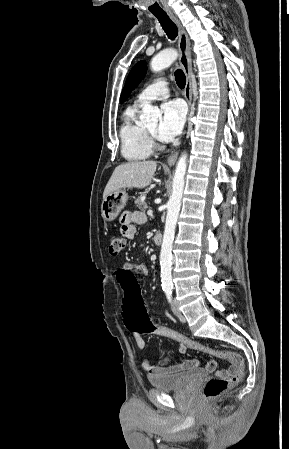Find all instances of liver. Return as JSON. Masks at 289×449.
<instances>
[{
  "label": "liver",
  "instance_id": "liver-1",
  "mask_svg": "<svg viewBox=\"0 0 289 449\" xmlns=\"http://www.w3.org/2000/svg\"><path fill=\"white\" fill-rule=\"evenodd\" d=\"M156 168L155 161H132L117 166L105 187L103 199L111 192L122 188L147 187L152 181Z\"/></svg>",
  "mask_w": 289,
  "mask_h": 449
}]
</instances>
